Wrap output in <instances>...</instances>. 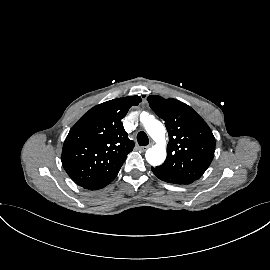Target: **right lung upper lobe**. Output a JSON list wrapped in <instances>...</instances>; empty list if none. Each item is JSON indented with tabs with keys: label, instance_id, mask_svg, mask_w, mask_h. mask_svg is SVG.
Segmentation results:
<instances>
[{
	"label": "right lung upper lobe",
	"instance_id": "cb5924a9",
	"mask_svg": "<svg viewBox=\"0 0 270 270\" xmlns=\"http://www.w3.org/2000/svg\"><path fill=\"white\" fill-rule=\"evenodd\" d=\"M140 102V96H128L101 103L71 128L61 161L76 184L84 187L117 175L134 147L121 119Z\"/></svg>",
	"mask_w": 270,
	"mask_h": 270
}]
</instances>
